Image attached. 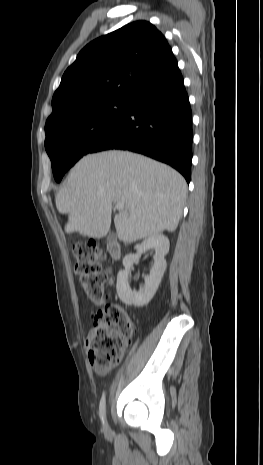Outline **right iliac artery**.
I'll return each instance as SVG.
<instances>
[{
    "mask_svg": "<svg viewBox=\"0 0 263 465\" xmlns=\"http://www.w3.org/2000/svg\"><path fill=\"white\" fill-rule=\"evenodd\" d=\"M105 412H106V399H105V394H103L100 400V404H99V415L103 423L105 422Z\"/></svg>",
    "mask_w": 263,
    "mask_h": 465,
    "instance_id": "1",
    "label": "right iliac artery"
}]
</instances>
